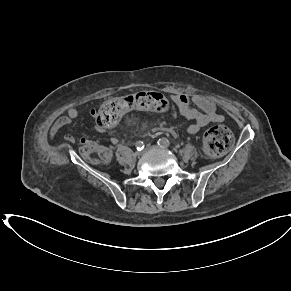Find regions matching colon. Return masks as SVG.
<instances>
[{"mask_svg":"<svg viewBox=\"0 0 291 291\" xmlns=\"http://www.w3.org/2000/svg\"><path fill=\"white\" fill-rule=\"evenodd\" d=\"M169 103L160 93L140 91L105 102L97 111L96 123L100 130L113 128L128 113L133 111L166 112ZM233 137L228 128L216 125L203 136V148L211 156L225 153L232 145ZM82 155L96 164L109 162L111 153L102 146L87 142L81 147Z\"/></svg>","mask_w":291,"mask_h":291,"instance_id":"colon-1","label":"colon"}]
</instances>
